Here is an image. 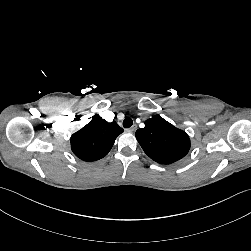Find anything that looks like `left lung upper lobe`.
<instances>
[{
	"label": "left lung upper lobe",
	"instance_id": "left-lung-upper-lobe-1",
	"mask_svg": "<svg viewBox=\"0 0 251 251\" xmlns=\"http://www.w3.org/2000/svg\"><path fill=\"white\" fill-rule=\"evenodd\" d=\"M136 138L144 152L160 164H171L183 158L190 149V138L160 116L145 121L136 131Z\"/></svg>",
	"mask_w": 251,
	"mask_h": 251
}]
</instances>
